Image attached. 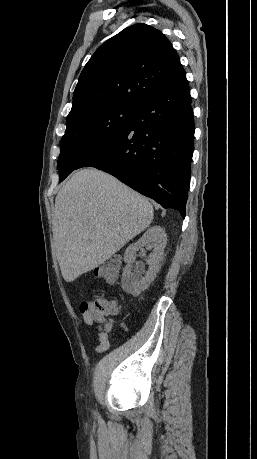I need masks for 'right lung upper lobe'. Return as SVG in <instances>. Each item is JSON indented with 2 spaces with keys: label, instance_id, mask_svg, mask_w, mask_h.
<instances>
[{
  "label": "right lung upper lobe",
  "instance_id": "right-lung-upper-lobe-1",
  "mask_svg": "<svg viewBox=\"0 0 257 459\" xmlns=\"http://www.w3.org/2000/svg\"><path fill=\"white\" fill-rule=\"evenodd\" d=\"M184 74L164 34L146 24L132 25L107 40L87 62L66 124L107 107H136Z\"/></svg>",
  "mask_w": 257,
  "mask_h": 459
}]
</instances>
